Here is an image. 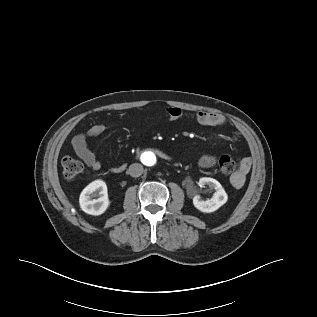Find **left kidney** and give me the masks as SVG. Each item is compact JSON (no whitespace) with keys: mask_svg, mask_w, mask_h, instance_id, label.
<instances>
[{"mask_svg":"<svg viewBox=\"0 0 317 317\" xmlns=\"http://www.w3.org/2000/svg\"><path fill=\"white\" fill-rule=\"evenodd\" d=\"M198 185L200 188L208 186L211 190H214L212 198L203 200L199 194L193 197V205L196 209L204 213H211L218 210L222 205H224L228 196L222 185L213 178L202 177L199 179Z\"/></svg>","mask_w":317,"mask_h":317,"instance_id":"obj_1","label":"left kidney"}]
</instances>
